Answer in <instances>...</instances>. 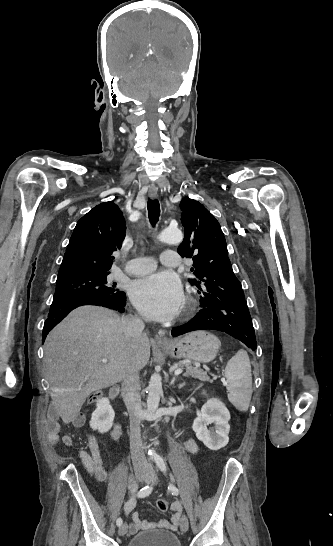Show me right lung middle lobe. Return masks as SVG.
Wrapping results in <instances>:
<instances>
[{"instance_id": "right-lung-middle-lobe-1", "label": "right lung middle lobe", "mask_w": 333, "mask_h": 546, "mask_svg": "<svg viewBox=\"0 0 333 546\" xmlns=\"http://www.w3.org/2000/svg\"><path fill=\"white\" fill-rule=\"evenodd\" d=\"M110 272L79 273L57 278L54 300L88 296L113 295L120 292L115 285L108 284Z\"/></svg>"}]
</instances>
